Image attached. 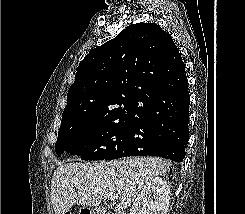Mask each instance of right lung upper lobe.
Returning a JSON list of instances; mask_svg holds the SVG:
<instances>
[{
	"mask_svg": "<svg viewBox=\"0 0 245 214\" xmlns=\"http://www.w3.org/2000/svg\"><path fill=\"white\" fill-rule=\"evenodd\" d=\"M76 70L62 116L97 120L135 112L154 92L186 77L171 36L155 23L129 25L92 49Z\"/></svg>",
	"mask_w": 245,
	"mask_h": 214,
	"instance_id": "obj_1",
	"label": "right lung upper lobe"
}]
</instances>
